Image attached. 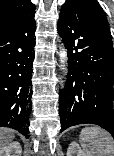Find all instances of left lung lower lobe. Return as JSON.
<instances>
[{
    "label": "left lung lower lobe",
    "mask_w": 114,
    "mask_h": 156,
    "mask_svg": "<svg viewBox=\"0 0 114 156\" xmlns=\"http://www.w3.org/2000/svg\"><path fill=\"white\" fill-rule=\"evenodd\" d=\"M58 32L68 50V74L59 93L61 131L97 124L114 137V49L108 23L86 7L62 5Z\"/></svg>",
    "instance_id": "obj_1"
}]
</instances>
